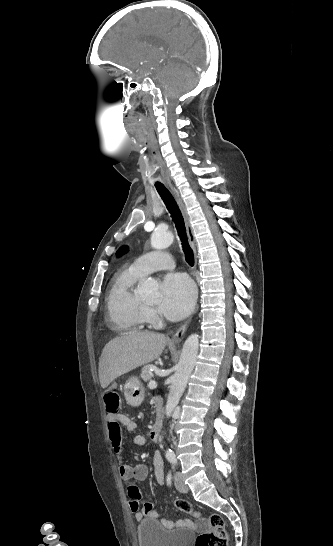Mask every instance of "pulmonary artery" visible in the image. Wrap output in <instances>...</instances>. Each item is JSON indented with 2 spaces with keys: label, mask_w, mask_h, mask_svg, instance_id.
I'll return each mask as SVG.
<instances>
[{
  "label": "pulmonary artery",
  "mask_w": 333,
  "mask_h": 546,
  "mask_svg": "<svg viewBox=\"0 0 333 546\" xmlns=\"http://www.w3.org/2000/svg\"><path fill=\"white\" fill-rule=\"evenodd\" d=\"M132 266L143 275H146L158 270L172 269L175 262L169 253L153 251L136 258Z\"/></svg>",
  "instance_id": "obj_1"
}]
</instances>
